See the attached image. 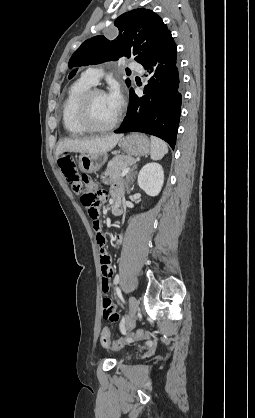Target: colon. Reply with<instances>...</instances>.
I'll use <instances>...</instances> for the list:
<instances>
[{
	"label": "colon",
	"instance_id": "1",
	"mask_svg": "<svg viewBox=\"0 0 255 418\" xmlns=\"http://www.w3.org/2000/svg\"><path fill=\"white\" fill-rule=\"evenodd\" d=\"M59 166L73 192L81 197V201L86 208L87 214L92 220L93 227L96 231V237H105L101 231L100 223L98 221L99 205L105 198V193L94 191V187L90 179L87 176L79 175L75 164L70 157L63 156L59 160ZM146 335L147 334L144 331H137L131 332L115 341H110L109 332L107 329H104L101 334V342L106 348L119 350L123 348L125 344L144 338Z\"/></svg>",
	"mask_w": 255,
	"mask_h": 418
}]
</instances>
